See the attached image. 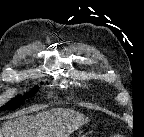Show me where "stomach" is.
Here are the masks:
<instances>
[{"instance_id": "0dacf381", "label": "stomach", "mask_w": 144, "mask_h": 137, "mask_svg": "<svg viewBox=\"0 0 144 137\" xmlns=\"http://www.w3.org/2000/svg\"><path fill=\"white\" fill-rule=\"evenodd\" d=\"M78 137H85L83 131H79Z\"/></svg>"}]
</instances>
